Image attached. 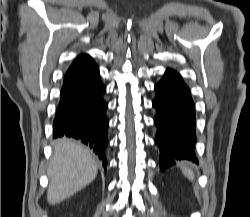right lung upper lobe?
Returning <instances> with one entry per match:
<instances>
[{
  "instance_id": "right-lung-upper-lobe-1",
  "label": "right lung upper lobe",
  "mask_w": 250,
  "mask_h": 217,
  "mask_svg": "<svg viewBox=\"0 0 250 217\" xmlns=\"http://www.w3.org/2000/svg\"><path fill=\"white\" fill-rule=\"evenodd\" d=\"M88 55H81V56H79V57H77L75 60H74V62H73V64L72 65H74V64H76V63H78V62H80L81 60H83L84 58H86ZM71 65V66H72Z\"/></svg>"
}]
</instances>
